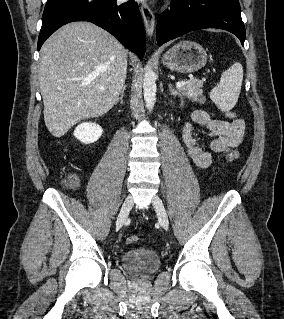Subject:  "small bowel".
<instances>
[{
    "mask_svg": "<svg viewBox=\"0 0 284 319\" xmlns=\"http://www.w3.org/2000/svg\"><path fill=\"white\" fill-rule=\"evenodd\" d=\"M194 125L203 127L212 138L210 150H205L195 138ZM244 131L245 122L242 119H213L204 110H194L191 113V122L182 124V139L191 162L198 168H207L212 162L213 153L226 154L240 145L244 139Z\"/></svg>",
    "mask_w": 284,
    "mask_h": 319,
    "instance_id": "small-bowel-1",
    "label": "small bowel"
}]
</instances>
